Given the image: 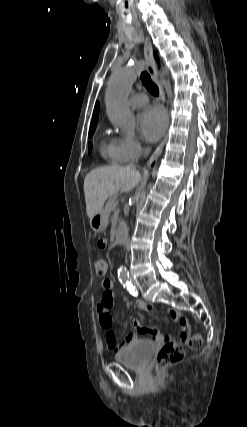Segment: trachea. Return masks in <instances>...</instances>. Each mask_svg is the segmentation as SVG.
<instances>
[{"label": "trachea", "instance_id": "3493384b", "mask_svg": "<svg viewBox=\"0 0 247 427\" xmlns=\"http://www.w3.org/2000/svg\"><path fill=\"white\" fill-rule=\"evenodd\" d=\"M140 78L142 84L146 87L148 91L151 92V94L155 96L159 95L158 87L152 82L151 77L147 72H142Z\"/></svg>", "mask_w": 247, "mask_h": 427}]
</instances>
